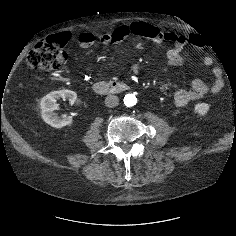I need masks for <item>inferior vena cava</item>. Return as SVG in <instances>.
<instances>
[{
  "label": "inferior vena cava",
  "instance_id": "obj_1",
  "mask_svg": "<svg viewBox=\"0 0 236 236\" xmlns=\"http://www.w3.org/2000/svg\"><path fill=\"white\" fill-rule=\"evenodd\" d=\"M119 104V98L115 95H108L105 99V105L107 107L113 108Z\"/></svg>",
  "mask_w": 236,
  "mask_h": 236
}]
</instances>
